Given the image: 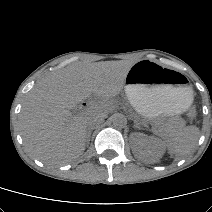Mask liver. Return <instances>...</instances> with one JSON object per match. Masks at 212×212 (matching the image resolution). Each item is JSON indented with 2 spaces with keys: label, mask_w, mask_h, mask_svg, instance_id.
<instances>
[{
  "label": "liver",
  "mask_w": 212,
  "mask_h": 212,
  "mask_svg": "<svg viewBox=\"0 0 212 212\" xmlns=\"http://www.w3.org/2000/svg\"><path fill=\"white\" fill-rule=\"evenodd\" d=\"M128 61L72 64L47 76L29 93L20 113V131L29 154L47 165L77 159L86 146V118L92 113L104 117L108 100L124 88ZM94 95L101 99L76 116V105Z\"/></svg>",
  "instance_id": "liver-1"
}]
</instances>
